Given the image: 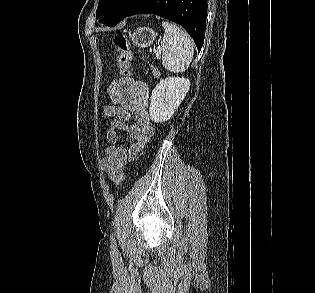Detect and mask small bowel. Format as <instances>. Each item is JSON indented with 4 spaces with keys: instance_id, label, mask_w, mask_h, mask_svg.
I'll return each instance as SVG.
<instances>
[{
    "instance_id": "c3829d8e",
    "label": "small bowel",
    "mask_w": 315,
    "mask_h": 293,
    "mask_svg": "<svg viewBox=\"0 0 315 293\" xmlns=\"http://www.w3.org/2000/svg\"><path fill=\"white\" fill-rule=\"evenodd\" d=\"M118 91L109 94L112 105H107L103 113L111 119L106 132L108 146L102 160L103 169L109 174L122 171L128 161L133 160L141 151L154 131L148 114L149 87L145 82L131 77H120ZM135 117V124L127 122ZM120 133L134 141L126 148L118 145Z\"/></svg>"
}]
</instances>
